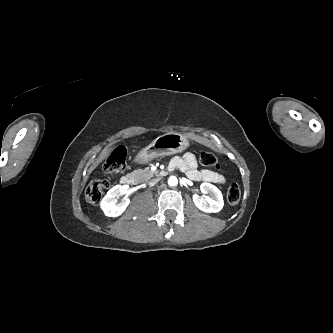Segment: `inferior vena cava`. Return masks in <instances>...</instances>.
I'll use <instances>...</instances> for the list:
<instances>
[{"label":"inferior vena cava","instance_id":"obj_1","mask_svg":"<svg viewBox=\"0 0 333 333\" xmlns=\"http://www.w3.org/2000/svg\"><path fill=\"white\" fill-rule=\"evenodd\" d=\"M158 182V179H152V180H150L149 182H148V184L150 185V186H153L154 184H156Z\"/></svg>","mask_w":333,"mask_h":333}]
</instances>
